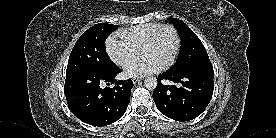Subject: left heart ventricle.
<instances>
[{"label":"left heart ventricle","mask_w":276,"mask_h":138,"mask_svg":"<svg viewBox=\"0 0 276 138\" xmlns=\"http://www.w3.org/2000/svg\"><path fill=\"white\" fill-rule=\"evenodd\" d=\"M175 46L173 34L164 31L156 43L141 49L142 56H150L163 65L172 55Z\"/></svg>","instance_id":"left-heart-ventricle-1"}]
</instances>
